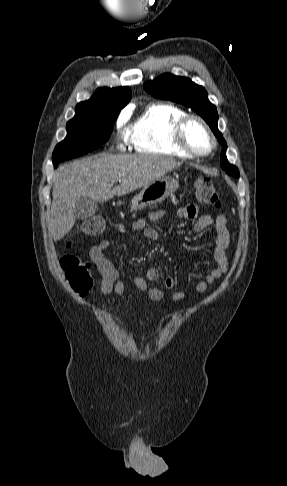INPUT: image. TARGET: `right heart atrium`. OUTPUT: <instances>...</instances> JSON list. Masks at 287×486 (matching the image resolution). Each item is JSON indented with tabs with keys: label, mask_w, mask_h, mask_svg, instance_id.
<instances>
[{
	"label": "right heart atrium",
	"mask_w": 287,
	"mask_h": 486,
	"mask_svg": "<svg viewBox=\"0 0 287 486\" xmlns=\"http://www.w3.org/2000/svg\"><path fill=\"white\" fill-rule=\"evenodd\" d=\"M126 121V116L124 114L120 115L119 118L116 121V125L118 128H121Z\"/></svg>",
	"instance_id": "1"
}]
</instances>
